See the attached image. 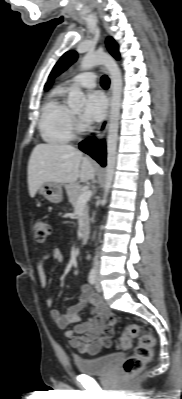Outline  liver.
I'll return each instance as SVG.
<instances>
[{
	"instance_id": "6515ba94",
	"label": "liver",
	"mask_w": 182,
	"mask_h": 399,
	"mask_svg": "<svg viewBox=\"0 0 182 399\" xmlns=\"http://www.w3.org/2000/svg\"><path fill=\"white\" fill-rule=\"evenodd\" d=\"M95 181V168L82 152L71 145L38 144L28 162V188L34 197L46 182L74 183Z\"/></svg>"
}]
</instances>
